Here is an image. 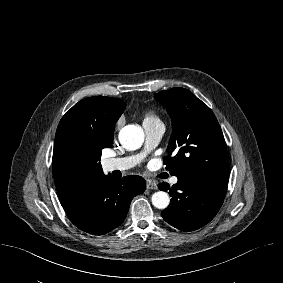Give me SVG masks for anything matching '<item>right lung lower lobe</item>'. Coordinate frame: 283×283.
Masks as SVG:
<instances>
[{
	"label": "right lung lower lobe",
	"instance_id": "right-lung-lower-lobe-1",
	"mask_svg": "<svg viewBox=\"0 0 283 283\" xmlns=\"http://www.w3.org/2000/svg\"><path fill=\"white\" fill-rule=\"evenodd\" d=\"M145 186L144 178L139 176L116 179L110 174H100L88 180L62 206L76 227L93 235H102L124 221L131 200L143 193Z\"/></svg>",
	"mask_w": 283,
	"mask_h": 283
}]
</instances>
